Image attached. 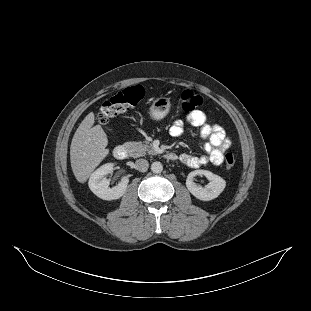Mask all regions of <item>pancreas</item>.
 Returning a JSON list of instances; mask_svg holds the SVG:
<instances>
[{"mask_svg":"<svg viewBox=\"0 0 311 311\" xmlns=\"http://www.w3.org/2000/svg\"><path fill=\"white\" fill-rule=\"evenodd\" d=\"M124 146L127 149L129 156L134 158L145 156L146 154H157L152 144H146L143 142H125Z\"/></svg>","mask_w":311,"mask_h":311,"instance_id":"1","label":"pancreas"}]
</instances>
